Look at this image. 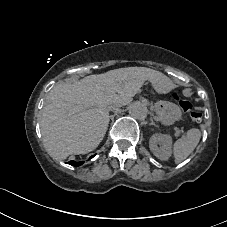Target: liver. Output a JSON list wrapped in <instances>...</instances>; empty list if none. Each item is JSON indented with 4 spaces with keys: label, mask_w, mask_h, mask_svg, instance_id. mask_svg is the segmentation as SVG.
I'll use <instances>...</instances> for the list:
<instances>
[{
    "label": "liver",
    "mask_w": 227,
    "mask_h": 227,
    "mask_svg": "<svg viewBox=\"0 0 227 227\" xmlns=\"http://www.w3.org/2000/svg\"><path fill=\"white\" fill-rule=\"evenodd\" d=\"M156 71L143 67L120 68L76 83L55 85L47 94L40 129L48 154L58 161L87 154L103 140L109 124L112 95L134 96L143 81Z\"/></svg>",
    "instance_id": "obj_1"
}]
</instances>
